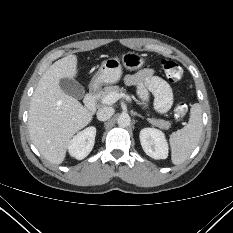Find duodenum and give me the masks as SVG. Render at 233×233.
I'll return each instance as SVG.
<instances>
[{
    "label": "duodenum",
    "mask_w": 233,
    "mask_h": 233,
    "mask_svg": "<svg viewBox=\"0 0 233 233\" xmlns=\"http://www.w3.org/2000/svg\"><path fill=\"white\" fill-rule=\"evenodd\" d=\"M99 88L98 85H93L89 93L84 98V105L88 109H92L96 105V100L98 97Z\"/></svg>",
    "instance_id": "1"
}]
</instances>
